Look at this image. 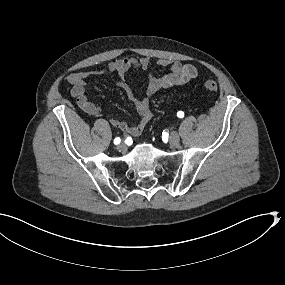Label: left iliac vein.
I'll use <instances>...</instances> for the list:
<instances>
[{
  "instance_id": "4c4485c4",
  "label": "left iliac vein",
  "mask_w": 285,
  "mask_h": 285,
  "mask_svg": "<svg viewBox=\"0 0 285 285\" xmlns=\"http://www.w3.org/2000/svg\"><path fill=\"white\" fill-rule=\"evenodd\" d=\"M180 137L177 132H172L169 137V144L172 147H177L179 145Z\"/></svg>"
}]
</instances>
